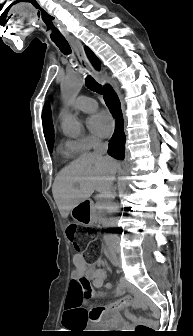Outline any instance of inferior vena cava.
<instances>
[{
    "label": "inferior vena cava",
    "mask_w": 193,
    "mask_h": 336,
    "mask_svg": "<svg viewBox=\"0 0 193 336\" xmlns=\"http://www.w3.org/2000/svg\"><path fill=\"white\" fill-rule=\"evenodd\" d=\"M93 148H94V153L97 155H105L107 153V149H108V143H102L100 140H94V144H93ZM104 157H108V156H104ZM114 173H112L109 178V186L111 188L113 180H114ZM113 197V195H111Z\"/></svg>",
    "instance_id": "inferior-vena-cava-1"
}]
</instances>
